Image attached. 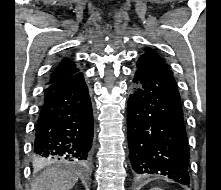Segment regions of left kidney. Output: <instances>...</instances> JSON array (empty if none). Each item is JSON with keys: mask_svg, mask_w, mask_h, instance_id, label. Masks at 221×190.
I'll return each mask as SVG.
<instances>
[{"mask_svg": "<svg viewBox=\"0 0 221 190\" xmlns=\"http://www.w3.org/2000/svg\"><path fill=\"white\" fill-rule=\"evenodd\" d=\"M150 190H162V189H160V188H152Z\"/></svg>", "mask_w": 221, "mask_h": 190, "instance_id": "left-kidney-1", "label": "left kidney"}]
</instances>
